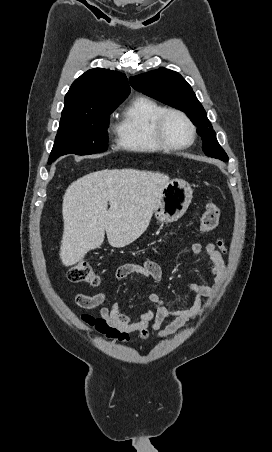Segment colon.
<instances>
[{
  "instance_id": "colon-1",
  "label": "colon",
  "mask_w": 272,
  "mask_h": 452,
  "mask_svg": "<svg viewBox=\"0 0 272 452\" xmlns=\"http://www.w3.org/2000/svg\"><path fill=\"white\" fill-rule=\"evenodd\" d=\"M221 210L214 201H208L200 219V231L210 232L214 230L219 222ZM67 279L73 283H87L97 285L99 275L96 269L86 260H80L75 263L67 272Z\"/></svg>"
}]
</instances>
